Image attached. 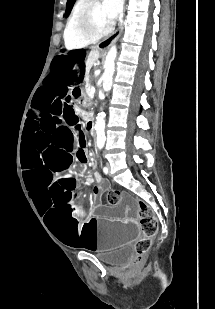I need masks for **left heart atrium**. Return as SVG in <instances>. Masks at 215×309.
Instances as JSON below:
<instances>
[{"mask_svg":"<svg viewBox=\"0 0 215 309\" xmlns=\"http://www.w3.org/2000/svg\"><path fill=\"white\" fill-rule=\"evenodd\" d=\"M105 5L108 8L103 12L100 20H116L120 12L124 10L123 5H120V0H106Z\"/></svg>","mask_w":215,"mask_h":309,"instance_id":"1","label":"left heart atrium"}]
</instances>
